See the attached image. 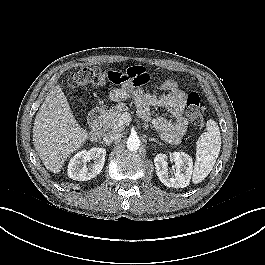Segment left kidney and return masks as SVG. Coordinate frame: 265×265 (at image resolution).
I'll use <instances>...</instances> for the list:
<instances>
[{
    "mask_svg": "<svg viewBox=\"0 0 265 265\" xmlns=\"http://www.w3.org/2000/svg\"><path fill=\"white\" fill-rule=\"evenodd\" d=\"M170 160L175 163L174 177L169 176L167 156L165 154H157L155 156L154 165L159 180L167 187H187L193 172L192 158L184 152H173L170 155Z\"/></svg>",
    "mask_w": 265,
    "mask_h": 265,
    "instance_id": "1",
    "label": "left kidney"
}]
</instances>
